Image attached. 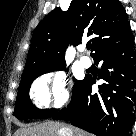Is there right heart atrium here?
<instances>
[{
    "mask_svg": "<svg viewBox=\"0 0 136 136\" xmlns=\"http://www.w3.org/2000/svg\"><path fill=\"white\" fill-rule=\"evenodd\" d=\"M30 95L36 107H62L69 100L65 74L57 71L42 75L33 83Z\"/></svg>",
    "mask_w": 136,
    "mask_h": 136,
    "instance_id": "right-heart-atrium-1",
    "label": "right heart atrium"
}]
</instances>
